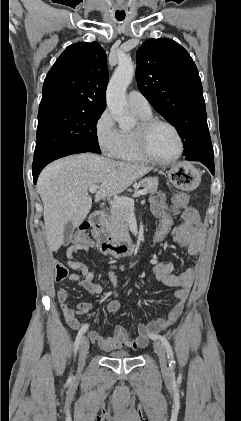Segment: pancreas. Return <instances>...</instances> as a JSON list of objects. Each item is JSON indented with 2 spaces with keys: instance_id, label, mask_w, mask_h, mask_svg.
Listing matches in <instances>:
<instances>
[{
  "instance_id": "1",
  "label": "pancreas",
  "mask_w": 241,
  "mask_h": 421,
  "mask_svg": "<svg viewBox=\"0 0 241 421\" xmlns=\"http://www.w3.org/2000/svg\"><path fill=\"white\" fill-rule=\"evenodd\" d=\"M143 187L147 193L155 194L158 189L157 178H146L135 188ZM130 209L128 207H111L110 214L104 222L105 231L113 239H121L129 235Z\"/></svg>"
}]
</instances>
